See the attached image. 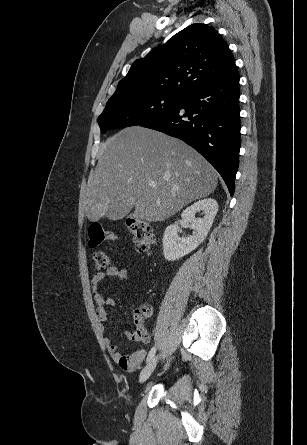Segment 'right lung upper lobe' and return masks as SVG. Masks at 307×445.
Returning a JSON list of instances; mask_svg holds the SVG:
<instances>
[{"instance_id": "right-lung-upper-lobe-1", "label": "right lung upper lobe", "mask_w": 307, "mask_h": 445, "mask_svg": "<svg viewBox=\"0 0 307 445\" xmlns=\"http://www.w3.org/2000/svg\"><path fill=\"white\" fill-rule=\"evenodd\" d=\"M234 67L235 59L217 31L206 24L195 23L152 49L144 58L134 61L112 97L185 96Z\"/></svg>"}]
</instances>
